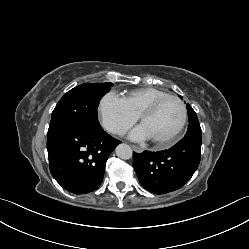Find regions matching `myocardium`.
Instances as JSON below:
<instances>
[{"mask_svg": "<svg viewBox=\"0 0 249 249\" xmlns=\"http://www.w3.org/2000/svg\"><path fill=\"white\" fill-rule=\"evenodd\" d=\"M176 100L180 103L181 107H182V120L180 122V125L178 126V128L175 130V132L173 134H171L169 137L163 139V140H153L155 146L159 149H165L168 148L170 146H172L180 137V135L182 134L187 120H188V110H187V106L185 104V102L178 96L176 95H167L164 97H161L155 101H153L152 103H150L149 105H147L145 108H143L141 110V112L138 115V119L140 122H142L143 118L154 113L156 111V109L166 100Z\"/></svg>", "mask_w": 249, "mask_h": 249, "instance_id": "myocardium-1", "label": "myocardium"}]
</instances>
